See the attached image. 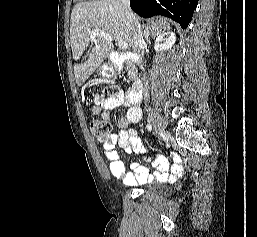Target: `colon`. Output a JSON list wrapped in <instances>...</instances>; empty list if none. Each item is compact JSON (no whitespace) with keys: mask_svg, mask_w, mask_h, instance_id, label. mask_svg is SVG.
Returning <instances> with one entry per match:
<instances>
[{"mask_svg":"<svg viewBox=\"0 0 257 237\" xmlns=\"http://www.w3.org/2000/svg\"><path fill=\"white\" fill-rule=\"evenodd\" d=\"M115 89L113 86L108 85L105 81H100L96 84L94 89L89 93V99L97 101L104 96L113 95ZM93 137L100 142H106L111 136V124L108 121L95 119L90 123Z\"/></svg>","mask_w":257,"mask_h":237,"instance_id":"5ec220e1","label":"colon"}]
</instances>
